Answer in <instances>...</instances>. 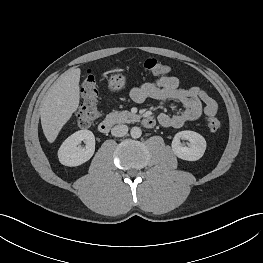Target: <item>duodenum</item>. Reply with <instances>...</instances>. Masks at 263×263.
Segmentation results:
<instances>
[{
  "instance_id": "1",
  "label": "duodenum",
  "mask_w": 263,
  "mask_h": 263,
  "mask_svg": "<svg viewBox=\"0 0 263 263\" xmlns=\"http://www.w3.org/2000/svg\"><path fill=\"white\" fill-rule=\"evenodd\" d=\"M140 121L147 128H152L156 123L155 119L151 116H142ZM113 125L114 122L111 119H105L97 125V130L102 134H106L111 130Z\"/></svg>"
}]
</instances>
